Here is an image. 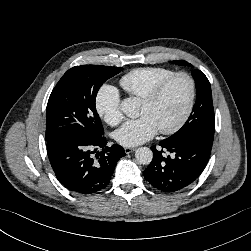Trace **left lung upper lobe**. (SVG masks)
<instances>
[{"mask_svg":"<svg viewBox=\"0 0 251 251\" xmlns=\"http://www.w3.org/2000/svg\"><path fill=\"white\" fill-rule=\"evenodd\" d=\"M172 63L191 66L186 61H172ZM192 75L196 85V103L192 113L183 127L165 140L173 142L197 137L212 144L215 131V116L210 82L200 70H193Z\"/></svg>","mask_w":251,"mask_h":251,"instance_id":"left-lung-upper-lobe-1","label":"left lung upper lobe"}]
</instances>
